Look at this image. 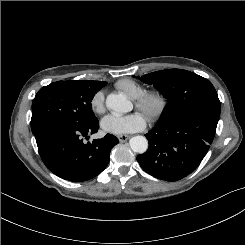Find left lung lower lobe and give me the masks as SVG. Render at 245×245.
I'll list each match as a JSON object with an SVG mask.
<instances>
[{
	"label": "left lung lower lobe",
	"mask_w": 245,
	"mask_h": 245,
	"mask_svg": "<svg viewBox=\"0 0 245 245\" xmlns=\"http://www.w3.org/2000/svg\"><path fill=\"white\" fill-rule=\"evenodd\" d=\"M219 116L208 111L189 113L179 120L156 125L145 136L148 150L137 161L148 174L169 182L186 177L206 155Z\"/></svg>",
	"instance_id": "1"
}]
</instances>
